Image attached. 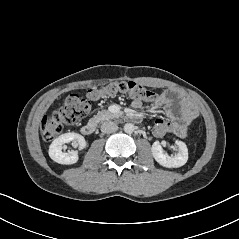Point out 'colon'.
Returning a JSON list of instances; mask_svg holds the SVG:
<instances>
[{
	"instance_id": "obj_1",
	"label": "colon",
	"mask_w": 239,
	"mask_h": 239,
	"mask_svg": "<svg viewBox=\"0 0 239 239\" xmlns=\"http://www.w3.org/2000/svg\"><path fill=\"white\" fill-rule=\"evenodd\" d=\"M117 94H126L146 102H152L156 99V95L152 91L133 81L113 82L101 88L91 89L87 99L71 95L66 98L63 106L51 116L43 117L41 121L43 137L46 140H52L63 131L65 126L80 122L89 112L90 101ZM168 128L169 121L166 118H156L153 121L152 134L155 137H165L168 134Z\"/></svg>"
}]
</instances>
